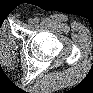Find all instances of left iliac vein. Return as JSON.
Instances as JSON below:
<instances>
[{"mask_svg":"<svg viewBox=\"0 0 93 93\" xmlns=\"http://www.w3.org/2000/svg\"><path fill=\"white\" fill-rule=\"evenodd\" d=\"M28 23H29L30 25H31V24H34V19H31V18H30V19L28 20Z\"/></svg>","mask_w":93,"mask_h":93,"instance_id":"obj_1","label":"left iliac vein"}]
</instances>
